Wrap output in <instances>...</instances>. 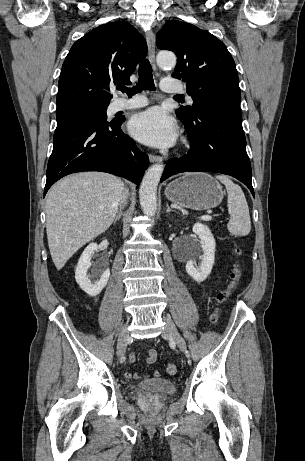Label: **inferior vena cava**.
<instances>
[{
	"label": "inferior vena cava",
	"mask_w": 305,
	"mask_h": 461,
	"mask_svg": "<svg viewBox=\"0 0 305 461\" xmlns=\"http://www.w3.org/2000/svg\"><path fill=\"white\" fill-rule=\"evenodd\" d=\"M126 199H127V193H124L123 196H122V199H121V203H122V204H125V203H126Z\"/></svg>",
	"instance_id": "1"
}]
</instances>
